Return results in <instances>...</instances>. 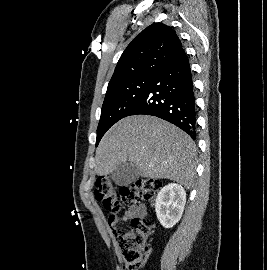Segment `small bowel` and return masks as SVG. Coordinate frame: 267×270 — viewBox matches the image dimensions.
<instances>
[{
    "label": "small bowel",
    "instance_id": "1",
    "mask_svg": "<svg viewBox=\"0 0 267 270\" xmlns=\"http://www.w3.org/2000/svg\"><path fill=\"white\" fill-rule=\"evenodd\" d=\"M146 208L144 206H132L126 209L121 216H110L108 226L115 234L119 231V225L123 222H131L133 219L141 218L145 215Z\"/></svg>",
    "mask_w": 267,
    "mask_h": 270
}]
</instances>
